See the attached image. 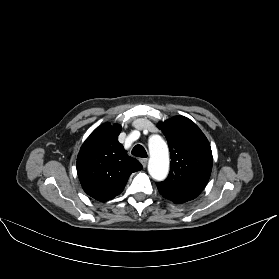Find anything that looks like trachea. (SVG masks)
Instances as JSON below:
<instances>
[{
    "label": "trachea",
    "instance_id": "trachea-1",
    "mask_svg": "<svg viewBox=\"0 0 279 279\" xmlns=\"http://www.w3.org/2000/svg\"><path fill=\"white\" fill-rule=\"evenodd\" d=\"M131 154L136 156V157H141V158H146L147 157V152H146L145 148L140 144L136 145L132 149Z\"/></svg>",
    "mask_w": 279,
    "mask_h": 279
}]
</instances>
